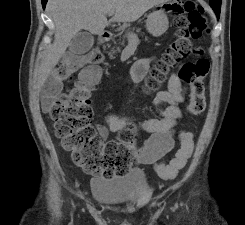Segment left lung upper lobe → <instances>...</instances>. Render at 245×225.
<instances>
[{
    "label": "left lung upper lobe",
    "mask_w": 245,
    "mask_h": 225,
    "mask_svg": "<svg viewBox=\"0 0 245 225\" xmlns=\"http://www.w3.org/2000/svg\"><path fill=\"white\" fill-rule=\"evenodd\" d=\"M210 5L216 13L217 17L220 16L221 0H210Z\"/></svg>",
    "instance_id": "obj_1"
}]
</instances>
